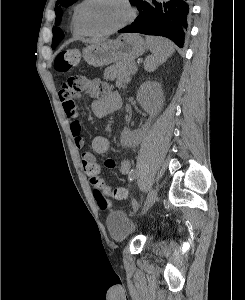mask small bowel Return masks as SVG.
<instances>
[{"instance_id":"small-bowel-1","label":"small bowel","mask_w":245,"mask_h":300,"mask_svg":"<svg viewBox=\"0 0 245 300\" xmlns=\"http://www.w3.org/2000/svg\"><path fill=\"white\" fill-rule=\"evenodd\" d=\"M82 89L81 91L92 99L91 111L97 118H103L110 112L116 110L120 106V97L113 92L110 86L101 81L99 78H80ZM81 91L72 92L63 84L59 91L63 110L70 124V131L76 148L82 160L83 169L90 177L98 176L101 170V165L95 154H105L110 148V141L104 136H95L91 141L93 152L85 149V138L83 128L78 120V111L74 97L81 98ZM104 166L108 169H117L121 175H129L131 168L128 160H123L119 164L108 158L104 162ZM99 187V186H98Z\"/></svg>"}]
</instances>
